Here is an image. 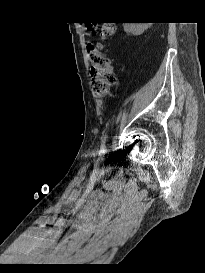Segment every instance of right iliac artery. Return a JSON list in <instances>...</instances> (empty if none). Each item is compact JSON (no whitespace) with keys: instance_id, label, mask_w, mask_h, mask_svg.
I'll use <instances>...</instances> for the list:
<instances>
[{"instance_id":"obj_1","label":"right iliac artery","mask_w":205,"mask_h":273,"mask_svg":"<svg viewBox=\"0 0 205 273\" xmlns=\"http://www.w3.org/2000/svg\"><path fill=\"white\" fill-rule=\"evenodd\" d=\"M106 138H107V135L105 134L103 137H102V146H101V150L100 152L101 153H105V141H106Z\"/></svg>"}]
</instances>
